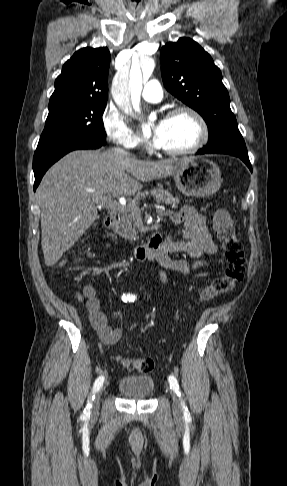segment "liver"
Instances as JSON below:
<instances>
[{
	"mask_svg": "<svg viewBox=\"0 0 287 486\" xmlns=\"http://www.w3.org/2000/svg\"><path fill=\"white\" fill-rule=\"evenodd\" d=\"M190 159L142 161L113 150H77L64 156L37 189L46 266L55 265L93 224L97 199L131 196L142 189L141 182L172 175Z\"/></svg>",
	"mask_w": 287,
	"mask_h": 486,
	"instance_id": "liver-1",
	"label": "liver"
}]
</instances>
